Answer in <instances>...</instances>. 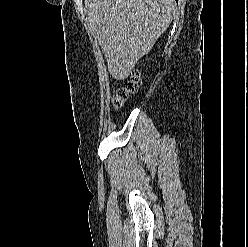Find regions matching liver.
<instances>
[{
	"instance_id": "obj_1",
	"label": "liver",
	"mask_w": 248,
	"mask_h": 247,
	"mask_svg": "<svg viewBox=\"0 0 248 247\" xmlns=\"http://www.w3.org/2000/svg\"><path fill=\"white\" fill-rule=\"evenodd\" d=\"M91 33L102 48L110 75L125 80L169 27L174 0H85Z\"/></svg>"
}]
</instances>
